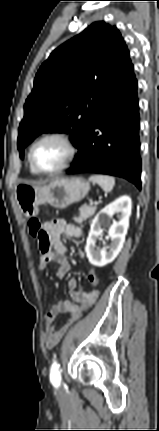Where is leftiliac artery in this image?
Masks as SVG:
<instances>
[{"label": "left iliac artery", "mask_w": 159, "mask_h": 431, "mask_svg": "<svg viewBox=\"0 0 159 431\" xmlns=\"http://www.w3.org/2000/svg\"><path fill=\"white\" fill-rule=\"evenodd\" d=\"M59 367V364L54 361L50 369V381L55 387L59 386L61 380Z\"/></svg>", "instance_id": "obj_1"}]
</instances>
